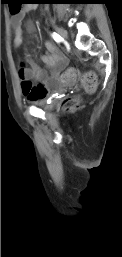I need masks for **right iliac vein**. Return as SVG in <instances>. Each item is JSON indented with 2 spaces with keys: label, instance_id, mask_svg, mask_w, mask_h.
Returning a JSON list of instances; mask_svg holds the SVG:
<instances>
[{
  "label": "right iliac vein",
  "instance_id": "obj_1",
  "mask_svg": "<svg viewBox=\"0 0 122 257\" xmlns=\"http://www.w3.org/2000/svg\"><path fill=\"white\" fill-rule=\"evenodd\" d=\"M54 29L56 30V32L63 38H67V32L65 29L58 27L56 25L53 24Z\"/></svg>",
  "mask_w": 122,
  "mask_h": 257
}]
</instances>
